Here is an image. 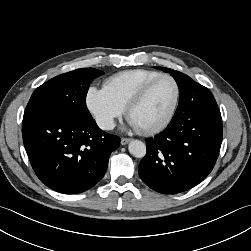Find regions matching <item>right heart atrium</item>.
I'll return each instance as SVG.
<instances>
[{"mask_svg":"<svg viewBox=\"0 0 251 251\" xmlns=\"http://www.w3.org/2000/svg\"><path fill=\"white\" fill-rule=\"evenodd\" d=\"M86 106L97 125L104 130L112 129L115 120L124 112V108L104 88L95 86L86 93Z\"/></svg>","mask_w":251,"mask_h":251,"instance_id":"d8ad5b80","label":"right heart atrium"}]
</instances>
